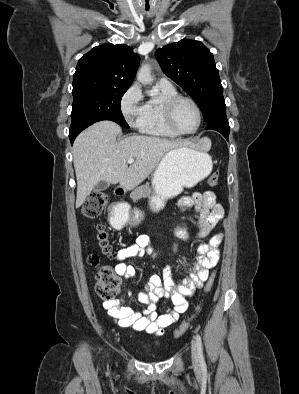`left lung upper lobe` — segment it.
<instances>
[{"label":"left lung upper lobe","mask_w":299,"mask_h":394,"mask_svg":"<svg viewBox=\"0 0 299 394\" xmlns=\"http://www.w3.org/2000/svg\"><path fill=\"white\" fill-rule=\"evenodd\" d=\"M163 72L200 107L207 124L226 122V105L213 54L200 41L183 39L156 50Z\"/></svg>","instance_id":"left-lung-upper-lobe-1"}]
</instances>
